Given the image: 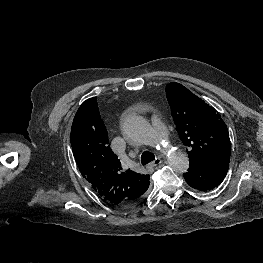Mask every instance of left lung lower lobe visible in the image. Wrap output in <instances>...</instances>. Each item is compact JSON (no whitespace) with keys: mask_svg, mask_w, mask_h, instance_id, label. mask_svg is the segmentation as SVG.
Listing matches in <instances>:
<instances>
[{"mask_svg":"<svg viewBox=\"0 0 263 263\" xmlns=\"http://www.w3.org/2000/svg\"><path fill=\"white\" fill-rule=\"evenodd\" d=\"M229 164H218L213 166H200L190 164L188 172L184 173L186 182L200 191H209L216 188L224 180Z\"/></svg>","mask_w":263,"mask_h":263,"instance_id":"0a47b994","label":"left lung lower lobe"}]
</instances>
